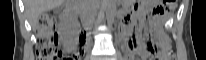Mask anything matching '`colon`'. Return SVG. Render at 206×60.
Wrapping results in <instances>:
<instances>
[{
    "instance_id": "obj_1",
    "label": "colon",
    "mask_w": 206,
    "mask_h": 60,
    "mask_svg": "<svg viewBox=\"0 0 206 60\" xmlns=\"http://www.w3.org/2000/svg\"><path fill=\"white\" fill-rule=\"evenodd\" d=\"M164 4L156 8L155 13L164 15L173 9L176 1L164 0ZM37 45L36 54L38 60H70V58L62 57L61 52L57 48V33L52 17L43 13L40 15L37 27ZM83 43L85 38L81 36ZM146 47L152 59L169 60L173 57V50L166 38H161L160 41L148 39Z\"/></svg>"
}]
</instances>
